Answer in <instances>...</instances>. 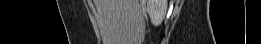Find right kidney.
I'll return each instance as SVG.
<instances>
[{
	"label": "right kidney",
	"instance_id": "1",
	"mask_svg": "<svg viewBox=\"0 0 261 44\" xmlns=\"http://www.w3.org/2000/svg\"><path fill=\"white\" fill-rule=\"evenodd\" d=\"M147 12L151 23L155 26L160 25L167 12V0H148Z\"/></svg>",
	"mask_w": 261,
	"mask_h": 44
}]
</instances>
